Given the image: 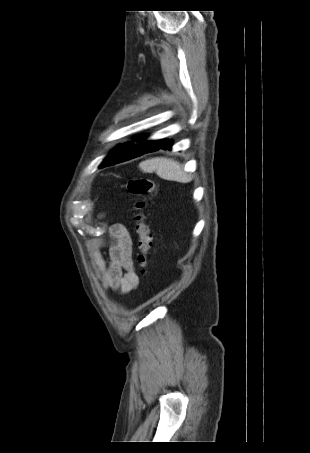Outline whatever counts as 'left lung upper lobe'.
Here are the masks:
<instances>
[{
  "label": "left lung upper lobe",
  "instance_id": "left-lung-upper-lobe-1",
  "mask_svg": "<svg viewBox=\"0 0 310 453\" xmlns=\"http://www.w3.org/2000/svg\"><path fill=\"white\" fill-rule=\"evenodd\" d=\"M138 144H134L133 142L126 143L119 145L116 149H114L109 156L103 161V163L99 166V168H103L106 166H110L116 163H120L129 159H132L136 156V154L141 150V148L146 147L147 145L155 142V141H145L144 137L137 138L135 140Z\"/></svg>",
  "mask_w": 310,
  "mask_h": 453
}]
</instances>
